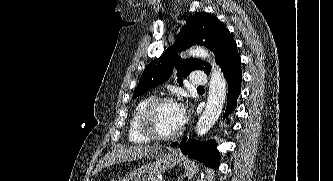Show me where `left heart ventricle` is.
I'll use <instances>...</instances> for the list:
<instances>
[{"label":"left heart ventricle","instance_id":"1","mask_svg":"<svg viewBox=\"0 0 333 181\" xmlns=\"http://www.w3.org/2000/svg\"><path fill=\"white\" fill-rule=\"evenodd\" d=\"M153 122L156 130L162 134H170L177 131L181 126L177 119V105L164 103L158 107Z\"/></svg>","mask_w":333,"mask_h":181}]
</instances>
